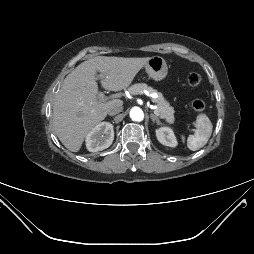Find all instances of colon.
I'll return each instance as SVG.
<instances>
[{
  "mask_svg": "<svg viewBox=\"0 0 254 254\" xmlns=\"http://www.w3.org/2000/svg\"><path fill=\"white\" fill-rule=\"evenodd\" d=\"M201 76L198 73L192 72L187 76V82L190 86L196 87L201 83ZM192 108L195 112L200 113L205 108V103L202 99H195L192 102Z\"/></svg>",
  "mask_w": 254,
  "mask_h": 254,
  "instance_id": "obj_1",
  "label": "colon"
}]
</instances>
